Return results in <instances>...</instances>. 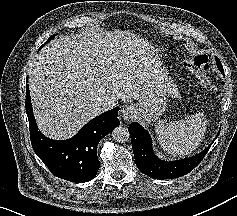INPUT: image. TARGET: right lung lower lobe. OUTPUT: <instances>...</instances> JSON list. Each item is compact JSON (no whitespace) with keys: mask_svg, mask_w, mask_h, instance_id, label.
<instances>
[{"mask_svg":"<svg viewBox=\"0 0 237 216\" xmlns=\"http://www.w3.org/2000/svg\"><path fill=\"white\" fill-rule=\"evenodd\" d=\"M26 113L29 120L30 139L37 156L50 172L67 181L84 183L93 179L100 167L97 144L120 122L119 107L107 111L89 121L74 137L56 141L46 138L38 131L26 85Z\"/></svg>","mask_w":237,"mask_h":216,"instance_id":"98d812e1","label":"right lung lower lobe"}]
</instances>
